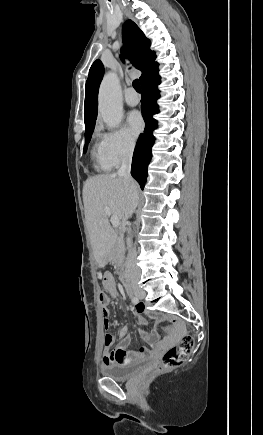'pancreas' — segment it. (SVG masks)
Segmentation results:
<instances>
[{
    "label": "pancreas",
    "mask_w": 263,
    "mask_h": 435,
    "mask_svg": "<svg viewBox=\"0 0 263 435\" xmlns=\"http://www.w3.org/2000/svg\"><path fill=\"white\" fill-rule=\"evenodd\" d=\"M123 257H124V249L122 246L121 239L119 237L116 238V241L109 253V260L112 264L115 265L117 270H122L123 268Z\"/></svg>",
    "instance_id": "cf45deb5"
}]
</instances>
